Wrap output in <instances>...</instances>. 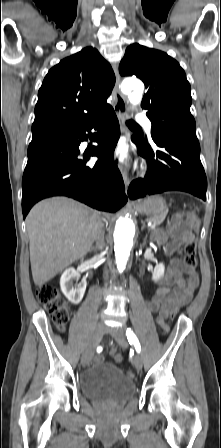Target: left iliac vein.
Segmentation results:
<instances>
[{
	"label": "left iliac vein",
	"mask_w": 221,
	"mask_h": 448,
	"mask_svg": "<svg viewBox=\"0 0 221 448\" xmlns=\"http://www.w3.org/2000/svg\"><path fill=\"white\" fill-rule=\"evenodd\" d=\"M107 332L110 333L116 339V341L122 348L125 349L128 346L126 335L121 327L116 329H108ZM133 364L137 370L142 369L143 363L140 355H136L134 357Z\"/></svg>",
	"instance_id": "obj_1"
}]
</instances>
